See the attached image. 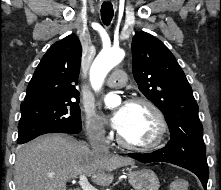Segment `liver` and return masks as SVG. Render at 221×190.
I'll return each mask as SVG.
<instances>
[{
    "mask_svg": "<svg viewBox=\"0 0 221 190\" xmlns=\"http://www.w3.org/2000/svg\"><path fill=\"white\" fill-rule=\"evenodd\" d=\"M134 163L129 157L95 153L81 141L49 134L20 147L14 181L16 190H66L69 179L87 175L96 185L108 186L113 170Z\"/></svg>",
    "mask_w": 221,
    "mask_h": 190,
    "instance_id": "1",
    "label": "liver"
}]
</instances>
